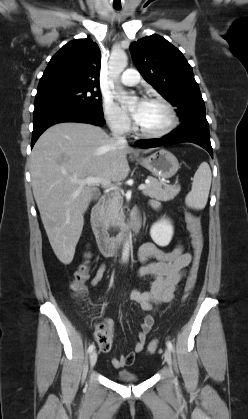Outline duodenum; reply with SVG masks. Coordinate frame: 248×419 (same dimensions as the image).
I'll return each mask as SVG.
<instances>
[{"label": "duodenum", "mask_w": 248, "mask_h": 419, "mask_svg": "<svg viewBox=\"0 0 248 419\" xmlns=\"http://www.w3.org/2000/svg\"><path fill=\"white\" fill-rule=\"evenodd\" d=\"M106 200L102 196L94 204L91 212L90 223L95 234L99 249L105 256L115 255L119 247L135 236L141 227L142 217L139 211H135L132 216L130 229L117 237L110 236L103 217Z\"/></svg>", "instance_id": "1"}]
</instances>
